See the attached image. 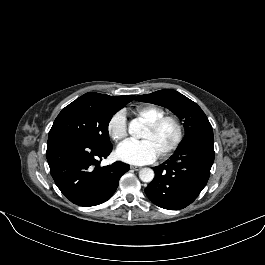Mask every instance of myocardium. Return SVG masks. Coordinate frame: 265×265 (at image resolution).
I'll return each mask as SVG.
<instances>
[{"label": "myocardium", "mask_w": 265, "mask_h": 265, "mask_svg": "<svg viewBox=\"0 0 265 265\" xmlns=\"http://www.w3.org/2000/svg\"><path fill=\"white\" fill-rule=\"evenodd\" d=\"M166 122H172L176 127L177 133H176V137L173 143L168 148H166L162 153L158 155L160 158H165L169 156L170 154H172L173 152H175L179 148L181 143L183 142L184 135H185L184 126L182 122L180 121L178 117L173 116V115H164L156 119L155 121L146 124V128L152 132H155Z\"/></svg>", "instance_id": "myocardium-1"}]
</instances>
